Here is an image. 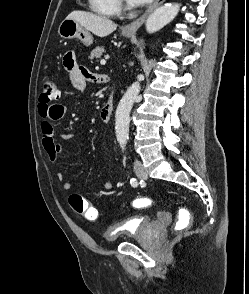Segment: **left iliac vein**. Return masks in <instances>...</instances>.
Returning <instances> with one entry per match:
<instances>
[{
  "label": "left iliac vein",
  "instance_id": "1",
  "mask_svg": "<svg viewBox=\"0 0 249 294\" xmlns=\"http://www.w3.org/2000/svg\"><path fill=\"white\" fill-rule=\"evenodd\" d=\"M134 171L138 178L146 180L148 178L147 172L145 171L142 163L138 160L134 162Z\"/></svg>",
  "mask_w": 249,
  "mask_h": 294
}]
</instances>
